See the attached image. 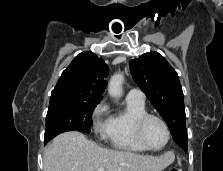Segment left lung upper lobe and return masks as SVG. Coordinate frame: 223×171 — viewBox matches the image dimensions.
Wrapping results in <instances>:
<instances>
[{
  "instance_id": "1",
  "label": "left lung upper lobe",
  "mask_w": 223,
  "mask_h": 171,
  "mask_svg": "<svg viewBox=\"0 0 223 171\" xmlns=\"http://www.w3.org/2000/svg\"><path fill=\"white\" fill-rule=\"evenodd\" d=\"M129 67L134 81L166 121L173 140L187 151L184 97L177 72L157 52L132 59Z\"/></svg>"
}]
</instances>
